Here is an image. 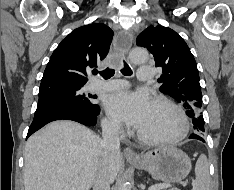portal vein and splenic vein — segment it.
<instances>
[{"instance_id":"portal-vein-and-splenic-vein-1","label":"portal vein and splenic vein","mask_w":234,"mask_h":190,"mask_svg":"<svg viewBox=\"0 0 234 190\" xmlns=\"http://www.w3.org/2000/svg\"><path fill=\"white\" fill-rule=\"evenodd\" d=\"M171 187V184H158V185H153L150 186L148 190H161V189H165V188H169Z\"/></svg>"}]
</instances>
